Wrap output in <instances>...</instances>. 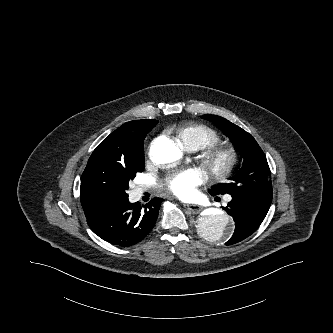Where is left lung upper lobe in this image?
Here are the masks:
<instances>
[{"label": "left lung upper lobe", "instance_id": "obj_1", "mask_svg": "<svg viewBox=\"0 0 333 333\" xmlns=\"http://www.w3.org/2000/svg\"><path fill=\"white\" fill-rule=\"evenodd\" d=\"M215 123L242 152L243 165L230 179V183L217 184L209 193L212 196L229 194L231 197L272 202L271 171L262 149L248 132L216 115H203Z\"/></svg>", "mask_w": 333, "mask_h": 333}]
</instances>
